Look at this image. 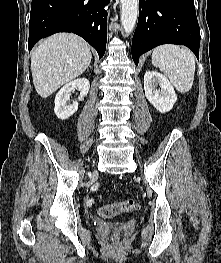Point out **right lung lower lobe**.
Returning a JSON list of instances; mask_svg holds the SVG:
<instances>
[{
  "label": "right lung lower lobe",
  "mask_w": 221,
  "mask_h": 263,
  "mask_svg": "<svg viewBox=\"0 0 221 263\" xmlns=\"http://www.w3.org/2000/svg\"><path fill=\"white\" fill-rule=\"evenodd\" d=\"M110 0H32L28 48L57 32H72L84 38L103 57L107 41Z\"/></svg>",
  "instance_id": "1"
}]
</instances>
